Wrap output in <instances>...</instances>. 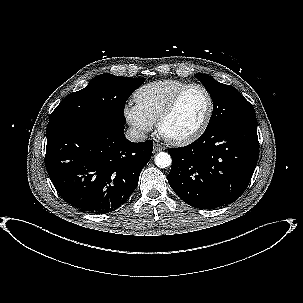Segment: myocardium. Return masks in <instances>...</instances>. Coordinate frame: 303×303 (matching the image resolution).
Listing matches in <instances>:
<instances>
[{"mask_svg":"<svg viewBox=\"0 0 303 303\" xmlns=\"http://www.w3.org/2000/svg\"><path fill=\"white\" fill-rule=\"evenodd\" d=\"M193 88H198L200 89L206 96L207 102H208V108L206 111V114L200 123V125L197 127L196 130H194L192 133L182 136V137H170L164 133L163 127L165 122L173 115L175 112L176 108L178 107L180 101L182 100L183 96ZM214 111V102L211 93L208 91L206 87H204L201 84L197 83H192L188 84L187 86L183 87L180 91L176 93V95L171 99V101L168 103V105L165 107V109L162 111V113L159 115L156 125L158 132L161 134L163 138H165L168 142L178 145V146H183V145H188L194 141H196L198 138H200L206 129L209 126V123L211 121L212 115Z\"/></svg>","mask_w":303,"mask_h":303,"instance_id":"myocardium-1","label":"myocardium"}]
</instances>
